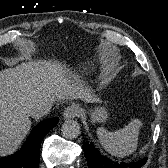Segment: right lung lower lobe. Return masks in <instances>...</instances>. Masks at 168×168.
<instances>
[{
    "mask_svg": "<svg viewBox=\"0 0 168 168\" xmlns=\"http://www.w3.org/2000/svg\"><path fill=\"white\" fill-rule=\"evenodd\" d=\"M58 121V118H50L40 122L32 130L20 151L14 155L0 158V168H38L41 142Z\"/></svg>",
    "mask_w": 168,
    "mask_h": 168,
    "instance_id": "1",
    "label": "right lung lower lobe"
}]
</instances>
